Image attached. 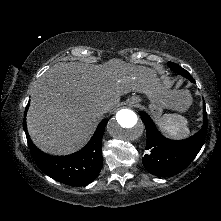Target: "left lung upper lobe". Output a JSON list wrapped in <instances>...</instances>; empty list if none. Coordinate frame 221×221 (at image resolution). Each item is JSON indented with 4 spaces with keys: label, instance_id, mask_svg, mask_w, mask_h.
Returning a JSON list of instances; mask_svg holds the SVG:
<instances>
[{
    "label": "left lung upper lobe",
    "instance_id": "5c2ea615",
    "mask_svg": "<svg viewBox=\"0 0 221 221\" xmlns=\"http://www.w3.org/2000/svg\"><path fill=\"white\" fill-rule=\"evenodd\" d=\"M169 67H171L172 70H174L176 73L181 74L184 76L186 73V70L180 67L178 64L168 62Z\"/></svg>",
    "mask_w": 221,
    "mask_h": 221
}]
</instances>
